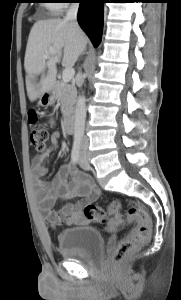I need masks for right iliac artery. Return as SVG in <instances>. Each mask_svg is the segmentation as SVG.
Masks as SVG:
<instances>
[{
  "label": "right iliac artery",
  "mask_w": 181,
  "mask_h": 300,
  "mask_svg": "<svg viewBox=\"0 0 181 300\" xmlns=\"http://www.w3.org/2000/svg\"><path fill=\"white\" fill-rule=\"evenodd\" d=\"M80 157V140H74L71 152V159L74 164H77Z\"/></svg>",
  "instance_id": "right-iliac-artery-1"
}]
</instances>
